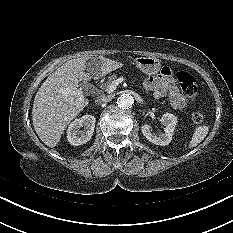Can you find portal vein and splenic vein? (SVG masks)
Masks as SVG:
<instances>
[{"mask_svg":"<svg viewBox=\"0 0 233 233\" xmlns=\"http://www.w3.org/2000/svg\"><path fill=\"white\" fill-rule=\"evenodd\" d=\"M120 82H121L120 79H117V80L113 81V82L109 85V92H113V91L116 89L117 85H118ZM65 92H67V93H72V94H74V95H77L78 100H79V101H82L83 94H82L81 91H79V90H78V91H72V90H70L69 88H67V89L65 90Z\"/></svg>","mask_w":233,"mask_h":233,"instance_id":"18ae733b","label":"portal vein and splenic vein"}]
</instances>
